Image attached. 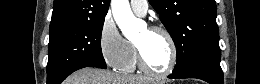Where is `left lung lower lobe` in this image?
Masks as SVG:
<instances>
[{
    "label": "left lung lower lobe",
    "instance_id": "1",
    "mask_svg": "<svg viewBox=\"0 0 260 84\" xmlns=\"http://www.w3.org/2000/svg\"><path fill=\"white\" fill-rule=\"evenodd\" d=\"M220 50L203 53L195 57L185 68L173 72L169 78H197L209 84H223L220 66Z\"/></svg>",
    "mask_w": 260,
    "mask_h": 84
}]
</instances>
